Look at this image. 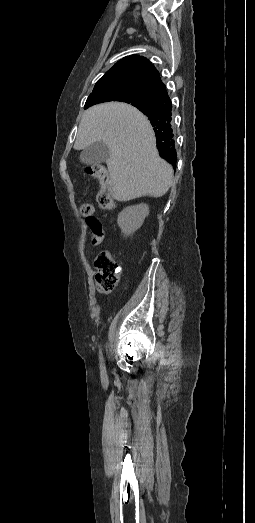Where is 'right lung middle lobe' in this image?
Returning <instances> with one entry per match:
<instances>
[{
    "mask_svg": "<svg viewBox=\"0 0 255 523\" xmlns=\"http://www.w3.org/2000/svg\"><path fill=\"white\" fill-rule=\"evenodd\" d=\"M109 101H121L126 103L143 102L148 99L146 92L139 89H127L118 93L109 94L106 96Z\"/></svg>",
    "mask_w": 255,
    "mask_h": 523,
    "instance_id": "dd1d6c3e",
    "label": "right lung middle lobe"
}]
</instances>
